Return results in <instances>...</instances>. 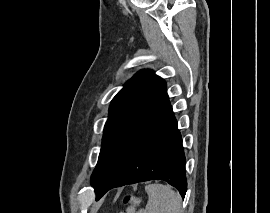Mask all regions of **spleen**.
<instances>
[{
  "instance_id": "obj_1",
  "label": "spleen",
  "mask_w": 270,
  "mask_h": 213,
  "mask_svg": "<svg viewBox=\"0 0 270 213\" xmlns=\"http://www.w3.org/2000/svg\"><path fill=\"white\" fill-rule=\"evenodd\" d=\"M145 190L148 194L147 205L136 213H181V196L170 186L149 184ZM127 213H135V209L128 208Z\"/></svg>"
}]
</instances>
